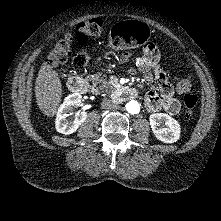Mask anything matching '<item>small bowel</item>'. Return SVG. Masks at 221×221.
Here are the masks:
<instances>
[{"instance_id":"c3829d8e","label":"small bowel","mask_w":221,"mask_h":221,"mask_svg":"<svg viewBox=\"0 0 221 221\" xmlns=\"http://www.w3.org/2000/svg\"><path fill=\"white\" fill-rule=\"evenodd\" d=\"M154 49H157L154 44L145 46L143 54L134 58L133 67H129L128 71L133 72L134 68H138L144 71L147 81L155 80L158 83V91L151 90L146 95L145 105L148 110L158 111L163 109L170 115H176L181 109V104L174 96V90L171 84L149 55L150 51H154ZM130 57V53L125 52L120 55L118 61L121 65H125L130 61ZM151 69H153V72H150Z\"/></svg>"}]
</instances>
